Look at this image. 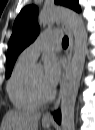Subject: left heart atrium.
<instances>
[{"instance_id": "obj_1", "label": "left heart atrium", "mask_w": 95, "mask_h": 130, "mask_svg": "<svg viewBox=\"0 0 95 130\" xmlns=\"http://www.w3.org/2000/svg\"><path fill=\"white\" fill-rule=\"evenodd\" d=\"M44 82L50 89H54L61 76V64L54 55H48L44 59Z\"/></svg>"}]
</instances>
